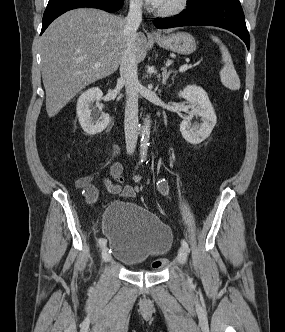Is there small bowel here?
<instances>
[{"mask_svg": "<svg viewBox=\"0 0 285 332\" xmlns=\"http://www.w3.org/2000/svg\"><path fill=\"white\" fill-rule=\"evenodd\" d=\"M122 172V164L118 161L114 162L110 167V174L114 178L115 183L106 177L103 178V183L111 194H116L123 197H133L135 195L134 188L129 185L123 186L122 184ZM95 177L96 174H89L82 177H76L74 181L75 186L83 191L85 198L89 203H94L98 197V191L93 185ZM158 189L162 194L166 196L169 195V188L165 181H160L158 183Z\"/></svg>", "mask_w": 285, "mask_h": 332, "instance_id": "1", "label": "small bowel"}]
</instances>
